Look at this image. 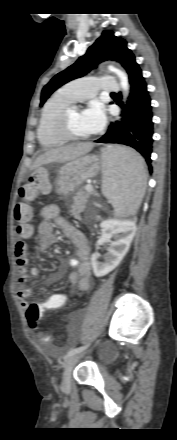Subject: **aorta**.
Here are the masks:
<instances>
[{"label":"aorta","mask_w":177,"mask_h":440,"mask_svg":"<svg viewBox=\"0 0 177 440\" xmlns=\"http://www.w3.org/2000/svg\"><path fill=\"white\" fill-rule=\"evenodd\" d=\"M110 71L114 72L120 79V85L125 93V95L129 92V82H128V76L125 72L116 69L114 67H109Z\"/></svg>","instance_id":"762f6f07"}]
</instances>
